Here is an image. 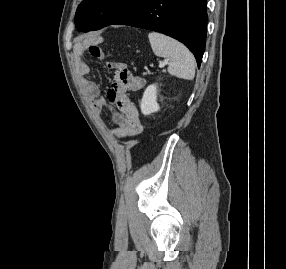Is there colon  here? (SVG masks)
I'll use <instances>...</instances> for the list:
<instances>
[{
  "label": "colon",
  "instance_id": "1",
  "mask_svg": "<svg viewBox=\"0 0 286 269\" xmlns=\"http://www.w3.org/2000/svg\"><path fill=\"white\" fill-rule=\"evenodd\" d=\"M93 46L99 47L97 44ZM127 65V61L116 62L112 85L118 89L119 93L126 91V95H132V91H141V83H146V78H134L135 76L126 67ZM125 110H142L140 100H127Z\"/></svg>",
  "mask_w": 286,
  "mask_h": 269
}]
</instances>
